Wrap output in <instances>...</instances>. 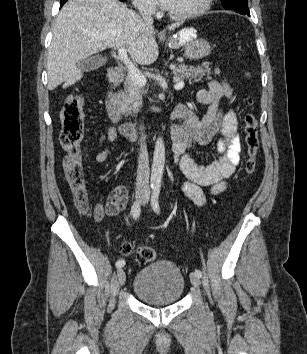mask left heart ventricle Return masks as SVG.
<instances>
[{"mask_svg":"<svg viewBox=\"0 0 307 354\" xmlns=\"http://www.w3.org/2000/svg\"><path fill=\"white\" fill-rule=\"evenodd\" d=\"M202 0H172L168 10L174 14H183L195 9Z\"/></svg>","mask_w":307,"mask_h":354,"instance_id":"obj_1","label":"left heart ventricle"}]
</instances>
